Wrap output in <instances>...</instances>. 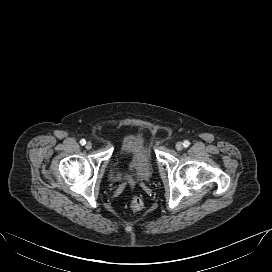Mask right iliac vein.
Masks as SVG:
<instances>
[{"instance_id":"right-iliac-vein-1","label":"right iliac vein","mask_w":272,"mask_h":272,"mask_svg":"<svg viewBox=\"0 0 272 272\" xmlns=\"http://www.w3.org/2000/svg\"><path fill=\"white\" fill-rule=\"evenodd\" d=\"M93 144L91 142H87L85 145V148L90 150L92 148Z\"/></svg>"}]
</instances>
